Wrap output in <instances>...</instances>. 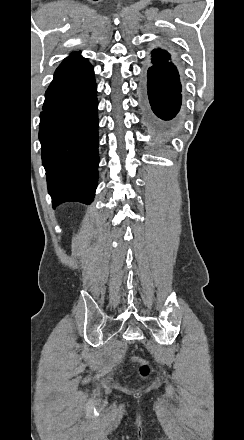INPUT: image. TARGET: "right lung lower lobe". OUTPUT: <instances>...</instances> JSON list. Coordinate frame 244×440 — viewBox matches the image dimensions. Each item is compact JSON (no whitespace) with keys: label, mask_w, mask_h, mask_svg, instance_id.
<instances>
[{"label":"right lung lower lobe","mask_w":244,"mask_h":440,"mask_svg":"<svg viewBox=\"0 0 244 440\" xmlns=\"http://www.w3.org/2000/svg\"><path fill=\"white\" fill-rule=\"evenodd\" d=\"M96 96L90 63L60 65L46 91L39 140L53 207L93 201L99 163Z\"/></svg>","instance_id":"obj_1"}]
</instances>
